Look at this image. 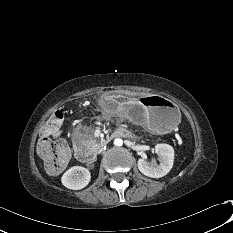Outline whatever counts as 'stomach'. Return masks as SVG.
I'll return each mask as SVG.
<instances>
[{
  "instance_id": "stomach-1",
  "label": "stomach",
  "mask_w": 233,
  "mask_h": 233,
  "mask_svg": "<svg viewBox=\"0 0 233 233\" xmlns=\"http://www.w3.org/2000/svg\"><path fill=\"white\" fill-rule=\"evenodd\" d=\"M103 107L127 118L136 125L147 126L157 134L170 132L180 121V110L171 100L160 95L132 97H106Z\"/></svg>"
}]
</instances>
